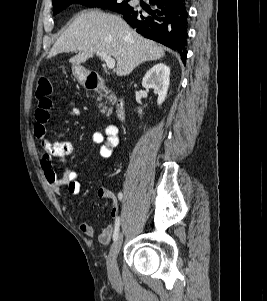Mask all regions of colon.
I'll list each match as a JSON object with an SVG mask.
<instances>
[{
  "instance_id": "1",
  "label": "colon",
  "mask_w": 267,
  "mask_h": 301,
  "mask_svg": "<svg viewBox=\"0 0 267 301\" xmlns=\"http://www.w3.org/2000/svg\"><path fill=\"white\" fill-rule=\"evenodd\" d=\"M53 87L49 79L42 77L38 81L36 95L38 98H47L52 94Z\"/></svg>"
}]
</instances>
